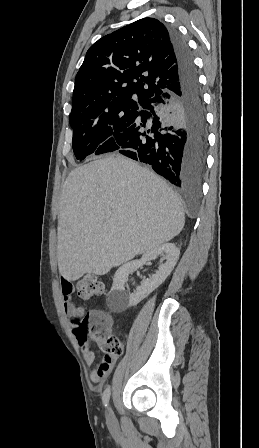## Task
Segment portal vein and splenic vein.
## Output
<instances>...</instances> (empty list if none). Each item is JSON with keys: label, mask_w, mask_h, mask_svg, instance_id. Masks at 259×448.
I'll return each instance as SVG.
<instances>
[{"label": "portal vein and splenic vein", "mask_w": 259, "mask_h": 448, "mask_svg": "<svg viewBox=\"0 0 259 448\" xmlns=\"http://www.w3.org/2000/svg\"><path fill=\"white\" fill-rule=\"evenodd\" d=\"M112 212H107V214H105V218H110Z\"/></svg>", "instance_id": "1"}]
</instances>
